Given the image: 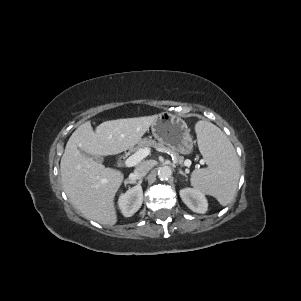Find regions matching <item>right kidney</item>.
Here are the masks:
<instances>
[{
  "label": "right kidney",
  "mask_w": 301,
  "mask_h": 301,
  "mask_svg": "<svg viewBox=\"0 0 301 301\" xmlns=\"http://www.w3.org/2000/svg\"><path fill=\"white\" fill-rule=\"evenodd\" d=\"M142 202V187L141 185H136L119 197L118 205L125 217H131L140 209Z\"/></svg>",
  "instance_id": "1"
}]
</instances>
